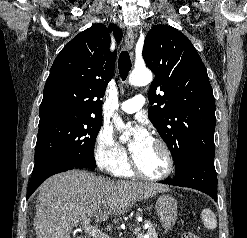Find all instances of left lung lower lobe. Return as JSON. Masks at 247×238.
Listing matches in <instances>:
<instances>
[{"label":"left lung lower lobe","mask_w":247,"mask_h":238,"mask_svg":"<svg viewBox=\"0 0 247 238\" xmlns=\"http://www.w3.org/2000/svg\"><path fill=\"white\" fill-rule=\"evenodd\" d=\"M163 183L174 186L189 187L202 191L217 200V176L214 161L193 158L187 161L174 179Z\"/></svg>","instance_id":"obj_1"}]
</instances>
